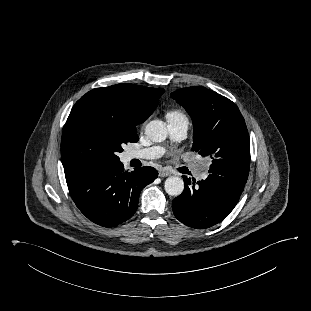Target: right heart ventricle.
Listing matches in <instances>:
<instances>
[{"instance_id": "1", "label": "right heart ventricle", "mask_w": 311, "mask_h": 311, "mask_svg": "<svg viewBox=\"0 0 311 311\" xmlns=\"http://www.w3.org/2000/svg\"><path fill=\"white\" fill-rule=\"evenodd\" d=\"M166 119L168 122L185 120L188 121L186 114L180 109H171L166 113Z\"/></svg>"}]
</instances>
